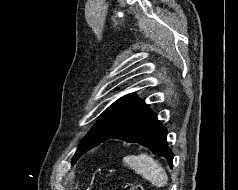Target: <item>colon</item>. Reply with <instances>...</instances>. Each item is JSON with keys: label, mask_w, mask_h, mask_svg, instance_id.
Returning <instances> with one entry per match:
<instances>
[{"label": "colon", "mask_w": 238, "mask_h": 190, "mask_svg": "<svg viewBox=\"0 0 238 190\" xmlns=\"http://www.w3.org/2000/svg\"><path fill=\"white\" fill-rule=\"evenodd\" d=\"M124 190H144L141 185L135 182H128L124 186Z\"/></svg>", "instance_id": "1"}]
</instances>
